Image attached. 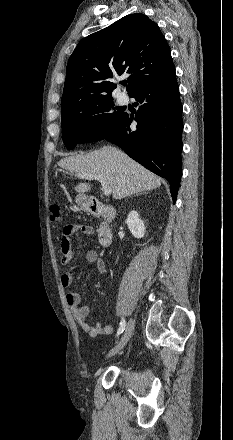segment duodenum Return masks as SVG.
Instances as JSON below:
<instances>
[{
    "label": "duodenum",
    "instance_id": "410a0bca",
    "mask_svg": "<svg viewBox=\"0 0 233 440\" xmlns=\"http://www.w3.org/2000/svg\"><path fill=\"white\" fill-rule=\"evenodd\" d=\"M89 212L94 217H101L106 220L105 223L99 226L98 240L101 246H110L113 241V231L108 222L111 221L115 216L114 208L99 201H93L90 205Z\"/></svg>",
    "mask_w": 233,
    "mask_h": 440
}]
</instances>
